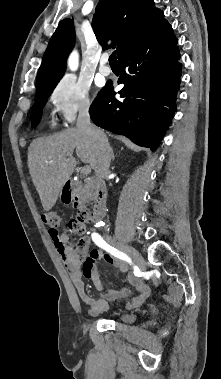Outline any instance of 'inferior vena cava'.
<instances>
[{
  "instance_id": "inferior-vena-cava-1",
  "label": "inferior vena cava",
  "mask_w": 221,
  "mask_h": 379,
  "mask_svg": "<svg viewBox=\"0 0 221 379\" xmlns=\"http://www.w3.org/2000/svg\"><path fill=\"white\" fill-rule=\"evenodd\" d=\"M76 126L92 136L98 143L95 174L97 179H103L109 172L111 161V148L104 132L96 128L90 121L89 106H84L80 111Z\"/></svg>"
}]
</instances>
